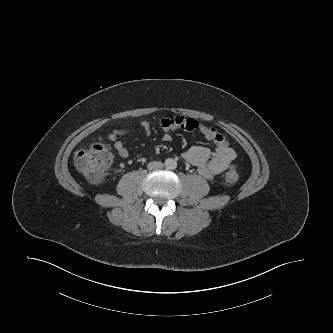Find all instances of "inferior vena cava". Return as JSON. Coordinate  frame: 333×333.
<instances>
[{
    "label": "inferior vena cava",
    "instance_id": "inferior-vena-cava-1",
    "mask_svg": "<svg viewBox=\"0 0 333 333\" xmlns=\"http://www.w3.org/2000/svg\"><path fill=\"white\" fill-rule=\"evenodd\" d=\"M163 163L162 162H159V161H153V162H150L148 165H147V168L149 170H158V169H161L163 168Z\"/></svg>",
    "mask_w": 333,
    "mask_h": 333
}]
</instances>
